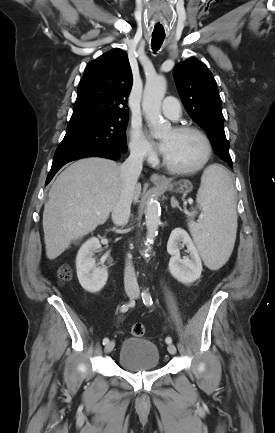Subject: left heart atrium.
I'll list each match as a JSON object with an SVG mask.
<instances>
[{"mask_svg": "<svg viewBox=\"0 0 275 433\" xmlns=\"http://www.w3.org/2000/svg\"><path fill=\"white\" fill-rule=\"evenodd\" d=\"M160 147H161V150L163 151V152H165L166 151V144L165 143H161V145H160Z\"/></svg>", "mask_w": 275, "mask_h": 433, "instance_id": "left-heart-atrium-1", "label": "left heart atrium"}]
</instances>
